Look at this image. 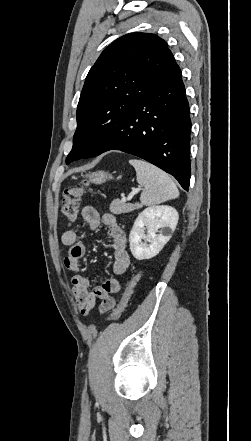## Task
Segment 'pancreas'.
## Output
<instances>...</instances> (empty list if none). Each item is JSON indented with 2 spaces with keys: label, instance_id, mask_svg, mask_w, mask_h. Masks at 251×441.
Masks as SVG:
<instances>
[{
  "label": "pancreas",
  "instance_id": "pancreas-1",
  "mask_svg": "<svg viewBox=\"0 0 251 441\" xmlns=\"http://www.w3.org/2000/svg\"><path fill=\"white\" fill-rule=\"evenodd\" d=\"M141 208V205L138 203L131 204V203H125L123 201H120L118 199L113 200V202L110 204L109 210L113 214H121V213H128L131 211H134L136 209Z\"/></svg>",
  "mask_w": 251,
  "mask_h": 441
}]
</instances>
